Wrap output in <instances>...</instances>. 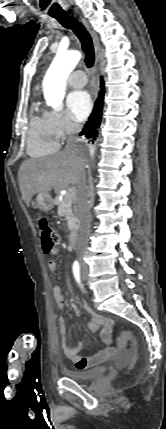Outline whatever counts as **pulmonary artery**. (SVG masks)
<instances>
[{"label":"pulmonary artery","instance_id":"pulmonary-artery-1","mask_svg":"<svg viewBox=\"0 0 166 429\" xmlns=\"http://www.w3.org/2000/svg\"><path fill=\"white\" fill-rule=\"evenodd\" d=\"M71 87H83L87 83V77L82 70H76L68 78Z\"/></svg>","mask_w":166,"mask_h":429}]
</instances>
